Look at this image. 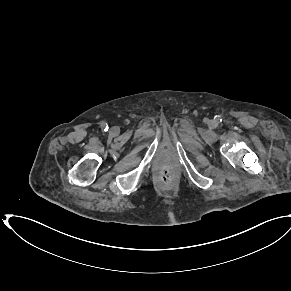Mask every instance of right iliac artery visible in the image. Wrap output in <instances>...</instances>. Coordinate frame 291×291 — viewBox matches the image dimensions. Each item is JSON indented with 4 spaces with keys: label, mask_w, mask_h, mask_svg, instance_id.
Listing matches in <instances>:
<instances>
[{
    "label": "right iliac artery",
    "mask_w": 291,
    "mask_h": 291,
    "mask_svg": "<svg viewBox=\"0 0 291 291\" xmlns=\"http://www.w3.org/2000/svg\"><path fill=\"white\" fill-rule=\"evenodd\" d=\"M101 127H102V129H104V131L108 130V125H107V123H105V122H103V123L101 124Z\"/></svg>",
    "instance_id": "1"
}]
</instances>
